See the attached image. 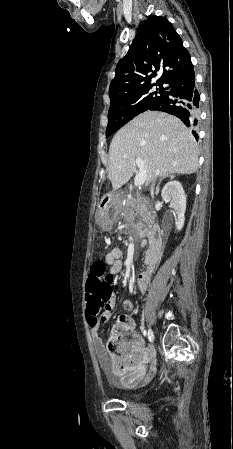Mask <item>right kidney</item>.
<instances>
[{
  "label": "right kidney",
  "instance_id": "right-kidney-1",
  "mask_svg": "<svg viewBox=\"0 0 233 449\" xmlns=\"http://www.w3.org/2000/svg\"><path fill=\"white\" fill-rule=\"evenodd\" d=\"M161 196L165 202L170 203L177 215L176 229L180 231L184 226L185 210H186V195L183 187L179 181L168 182L161 193Z\"/></svg>",
  "mask_w": 233,
  "mask_h": 449
}]
</instances>
